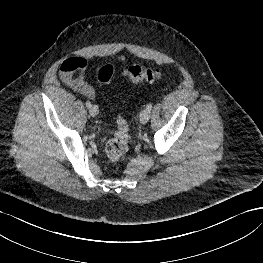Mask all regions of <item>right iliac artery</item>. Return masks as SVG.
Returning <instances> with one entry per match:
<instances>
[{
	"mask_svg": "<svg viewBox=\"0 0 263 263\" xmlns=\"http://www.w3.org/2000/svg\"><path fill=\"white\" fill-rule=\"evenodd\" d=\"M86 106H87L88 108H90V107L92 106L91 102L87 101V102H86Z\"/></svg>",
	"mask_w": 263,
	"mask_h": 263,
	"instance_id": "1",
	"label": "right iliac artery"
}]
</instances>
